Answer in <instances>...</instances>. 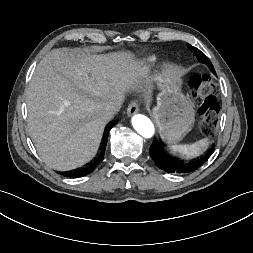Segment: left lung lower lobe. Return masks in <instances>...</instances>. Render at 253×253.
Masks as SVG:
<instances>
[{"mask_svg": "<svg viewBox=\"0 0 253 253\" xmlns=\"http://www.w3.org/2000/svg\"><path fill=\"white\" fill-rule=\"evenodd\" d=\"M196 57L199 59L201 63H205L210 68V70L216 75L213 65L205 55L204 56L196 55ZM212 150L213 147L206 155L197 159H193L186 162L177 161L166 156L164 152L161 151V149L159 148V145L156 142V140H154V142L150 146V156L154 160L157 167L164 170L165 172L187 174L196 171L200 166H202L210 157Z\"/></svg>", "mask_w": 253, "mask_h": 253, "instance_id": "0a47b994", "label": "left lung lower lobe"}]
</instances>
